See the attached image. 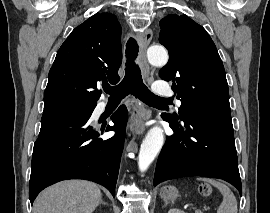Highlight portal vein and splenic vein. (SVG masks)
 <instances>
[{
  "label": "portal vein and splenic vein",
  "instance_id": "portal-vein-and-splenic-vein-1",
  "mask_svg": "<svg viewBox=\"0 0 270 213\" xmlns=\"http://www.w3.org/2000/svg\"><path fill=\"white\" fill-rule=\"evenodd\" d=\"M195 213H202V212H201L200 210H197V209H196V210H195Z\"/></svg>",
  "mask_w": 270,
  "mask_h": 213
}]
</instances>
